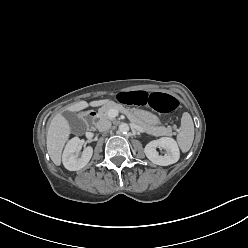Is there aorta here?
I'll return each mask as SVG.
<instances>
[{"label":"aorta","instance_id":"762f6f07","mask_svg":"<svg viewBox=\"0 0 248 248\" xmlns=\"http://www.w3.org/2000/svg\"><path fill=\"white\" fill-rule=\"evenodd\" d=\"M119 131H120L121 133H127V132L129 131V126H128V124H126V123H121V124L119 125Z\"/></svg>","mask_w":248,"mask_h":248}]
</instances>
